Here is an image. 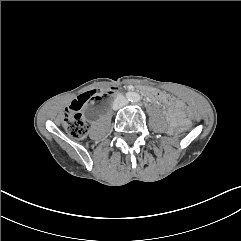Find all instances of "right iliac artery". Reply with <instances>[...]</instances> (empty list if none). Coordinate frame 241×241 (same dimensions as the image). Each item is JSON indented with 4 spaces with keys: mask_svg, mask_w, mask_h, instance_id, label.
<instances>
[{
    "mask_svg": "<svg viewBox=\"0 0 241 241\" xmlns=\"http://www.w3.org/2000/svg\"><path fill=\"white\" fill-rule=\"evenodd\" d=\"M127 98L130 100L132 98V94L131 93H127L126 94Z\"/></svg>",
    "mask_w": 241,
    "mask_h": 241,
    "instance_id": "obj_1",
    "label": "right iliac artery"
}]
</instances>
